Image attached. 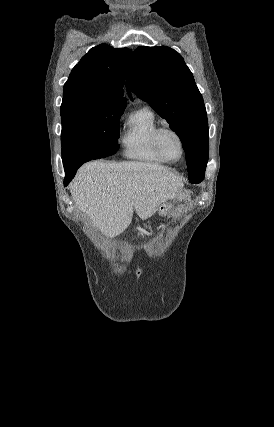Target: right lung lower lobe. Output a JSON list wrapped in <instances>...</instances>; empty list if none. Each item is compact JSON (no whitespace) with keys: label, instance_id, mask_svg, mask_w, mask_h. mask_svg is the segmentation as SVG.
<instances>
[{"label":"right lung lower lobe","instance_id":"98d812e1","mask_svg":"<svg viewBox=\"0 0 274 427\" xmlns=\"http://www.w3.org/2000/svg\"><path fill=\"white\" fill-rule=\"evenodd\" d=\"M83 163H78V164H72L69 166H64L65 168V173H66V177L64 179V186H67L69 184V182L72 180V178L74 177L77 169L82 165Z\"/></svg>","mask_w":274,"mask_h":427}]
</instances>
